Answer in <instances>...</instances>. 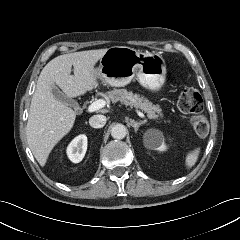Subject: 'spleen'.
Segmentation results:
<instances>
[{"label":"spleen","mask_w":240,"mask_h":240,"mask_svg":"<svg viewBox=\"0 0 240 240\" xmlns=\"http://www.w3.org/2000/svg\"><path fill=\"white\" fill-rule=\"evenodd\" d=\"M199 154H200V148H196L187 153V155L185 157V165L188 169L192 168L195 165V163L199 157Z\"/></svg>","instance_id":"3e777b00"}]
</instances>
